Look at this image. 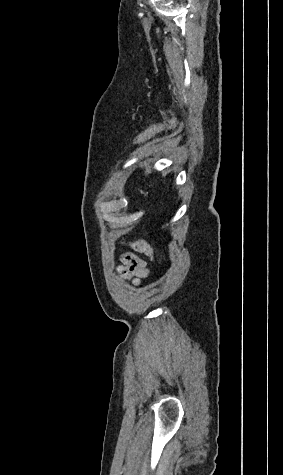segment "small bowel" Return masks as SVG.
Masks as SVG:
<instances>
[{
    "instance_id": "1",
    "label": "small bowel",
    "mask_w": 283,
    "mask_h": 475,
    "mask_svg": "<svg viewBox=\"0 0 283 475\" xmlns=\"http://www.w3.org/2000/svg\"><path fill=\"white\" fill-rule=\"evenodd\" d=\"M135 252L145 255L151 261L155 260L154 251L152 247L144 240H137L132 244ZM121 264L118 267L120 276L132 282L134 285H139L143 279L148 277L149 268L147 262L136 255L135 253L127 252L121 256Z\"/></svg>"
}]
</instances>
